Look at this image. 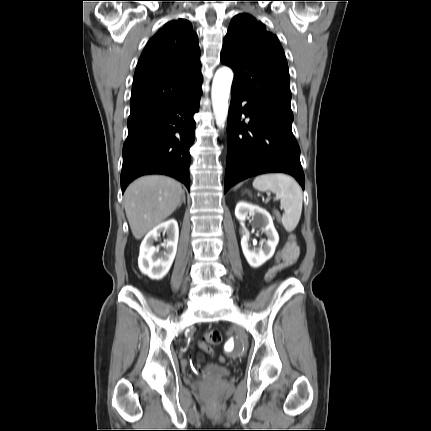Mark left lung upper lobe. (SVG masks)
<instances>
[{
  "mask_svg": "<svg viewBox=\"0 0 431 431\" xmlns=\"http://www.w3.org/2000/svg\"><path fill=\"white\" fill-rule=\"evenodd\" d=\"M223 43L221 61L234 71L232 85L292 114L288 65L278 38L252 16L239 14Z\"/></svg>",
  "mask_w": 431,
  "mask_h": 431,
  "instance_id": "5c2ea615",
  "label": "left lung upper lobe"
}]
</instances>
